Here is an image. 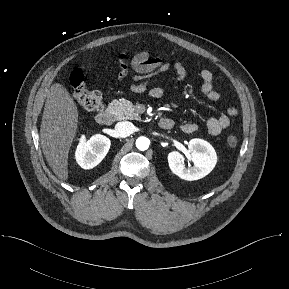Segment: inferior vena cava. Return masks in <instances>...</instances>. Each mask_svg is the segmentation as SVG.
<instances>
[{
  "instance_id": "1",
  "label": "inferior vena cava",
  "mask_w": 289,
  "mask_h": 289,
  "mask_svg": "<svg viewBox=\"0 0 289 289\" xmlns=\"http://www.w3.org/2000/svg\"><path fill=\"white\" fill-rule=\"evenodd\" d=\"M115 130L119 137H127L134 132V125L128 121L118 122L115 125Z\"/></svg>"
}]
</instances>
